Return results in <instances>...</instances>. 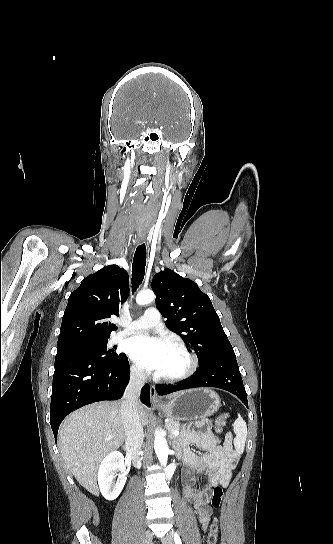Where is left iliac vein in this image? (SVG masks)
Listing matches in <instances>:
<instances>
[{
	"label": "left iliac vein",
	"mask_w": 333,
	"mask_h": 544,
	"mask_svg": "<svg viewBox=\"0 0 333 544\" xmlns=\"http://www.w3.org/2000/svg\"><path fill=\"white\" fill-rule=\"evenodd\" d=\"M163 543L164 544H174V536H173V533L172 532H168L164 537H163Z\"/></svg>",
	"instance_id": "4c4485c4"
}]
</instances>
